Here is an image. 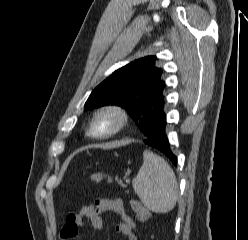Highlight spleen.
I'll return each instance as SVG.
<instances>
[{"label":"spleen","mask_w":248,"mask_h":240,"mask_svg":"<svg viewBox=\"0 0 248 240\" xmlns=\"http://www.w3.org/2000/svg\"><path fill=\"white\" fill-rule=\"evenodd\" d=\"M132 185L152 212L167 213L176 205L179 190L175 173L165 159L151 151H144L143 165Z\"/></svg>","instance_id":"obj_1"}]
</instances>
